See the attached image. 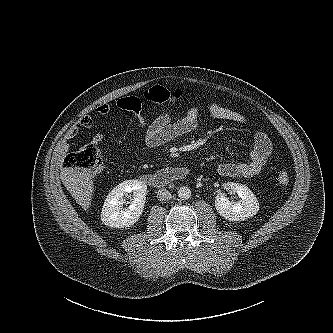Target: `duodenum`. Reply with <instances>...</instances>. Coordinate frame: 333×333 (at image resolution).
<instances>
[{"label": "duodenum", "mask_w": 333, "mask_h": 333, "mask_svg": "<svg viewBox=\"0 0 333 333\" xmlns=\"http://www.w3.org/2000/svg\"><path fill=\"white\" fill-rule=\"evenodd\" d=\"M189 175L190 170L187 167L170 166L162 168L155 173L145 174L141 179L150 186L163 188L172 182L183 180Z\"/></svg>", "instance_id": "1"}]
</instances>
